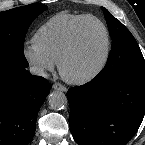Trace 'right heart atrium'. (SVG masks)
<instances>
[{"mask_svg":"<svg viewBox=\"0 0 145 145\" xmlns=\"http://www.w3.org/2000/svg\"><path fill=\"white\" fill-rule=\"evenodd\" d=\"M22 53L35 75L44 76L55 67V62L33 44H26Z\"/></svg>","mask_w":145,"mask_h":145,"instance_id":"1","label":"right heart atrium"}]
</instances>
